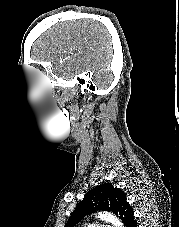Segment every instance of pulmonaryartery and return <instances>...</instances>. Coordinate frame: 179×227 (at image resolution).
Instances as JSON below:
<instances>
[{
	"label": "pulmonary artery",
	"instance_id": "pulmonary-artery-1",
	"mask_svg": "<svg viewBox=\"0 0 179 227\" xmlns=\"http://www.w3.org/2000/svg\"><path fill=\"white\" fill-rule=\"evenodd\" d=\"M88 227H113V226L109 224H92L89 225Z\"/></svg>",
	"mask_w": 179,
	"mask_h": 227
}]
</instances>
